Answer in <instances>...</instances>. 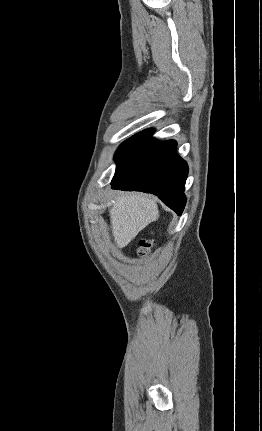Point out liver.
<instances>
[{"instance_id":"obj_1","label":"liver","mask_w":262,"mask_h":431,"mask_svg":"<svg viewBox=\"0 0 262 431\" xmlns=\"http://www.w3.org/2000/svg\"><path fill=\"white\" fill-rule=\"evenodd\" d=\"M109 214L112 235L121 249L159 217V210L156 200L147 195L119 193Z\"/></svg>"}]
</instances>
